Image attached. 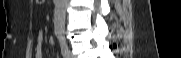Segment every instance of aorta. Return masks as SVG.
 Masks as SVG:
<instances>
[{"label": "aorta", "mask_w": 181, "mask_h": 58, "mask_svg": "<svg viewBox=\"0 0 181 58\" xmlns=\"http://www.w3.org/2000/svg\"><path fill=\"white\" fill-rule=\"evenodd\" d=\"M68 0H56L54 9V31L63 33L65 30L66 8Z\"/></svg>", "instance_id": "1"}]
</instances>
